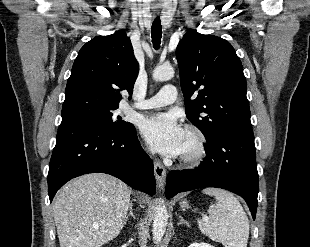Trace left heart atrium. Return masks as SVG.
<instances>
[{
	"label": "left heart atrium",
	"instance_id": "39dd6f15",
	"mask_svg": "<svg viewBox=\"0 0 310 247\" xmlns=\"http://www.w3.org/2000/svg\"><path fill=\"white\" fill-rule=\"evenodd\" d=\"M142 133L160 153L175 156L181 153L184 130L173 113H158L148 117Z\"/></svg>",
	"mask_w": 310,
	"mask_h": 247
}]
</instances>
